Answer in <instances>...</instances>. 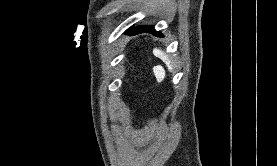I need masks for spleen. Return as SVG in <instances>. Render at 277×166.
<instances>
[{
    "label": "spleen",
    "instance_id": "spleen-1",
    "mask_svg": "<svg viewBox=\"0 0 277 166\" xmlns=\"http://www.w3.org/2000/svg\"><path fill=\"white\" fill-rule=\"evenodd\" d=\"M153 54L160 58L167 66L169 69H172V66H171V61L168 57V55H166L163 51H161L160 49H153Z\"/></svg>",
    "mask_w": 277,
    "mask_h": 166
}]
</instances>
